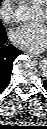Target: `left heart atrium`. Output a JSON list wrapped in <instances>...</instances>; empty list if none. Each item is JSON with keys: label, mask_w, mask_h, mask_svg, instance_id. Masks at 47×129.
Listing matches in <instances>:
<instances>
[{"label": "left heart atrium", "mask_w": 47, "mask_h": 129, "mask_svg": "<svg viewBox=\"0 0 47 129\" xmlns=\"http://www.w3.org/2000/svg\"><path fill=\"white\" fill-rule=\"evenodd\" d=\"M46 33V27L41 23L23 24L14 29L12 41L20 48L39 52L46 44Z\"/></svg>", "instance_id": "39dd6f15"}]
</instances>
